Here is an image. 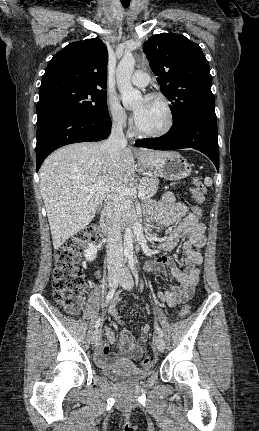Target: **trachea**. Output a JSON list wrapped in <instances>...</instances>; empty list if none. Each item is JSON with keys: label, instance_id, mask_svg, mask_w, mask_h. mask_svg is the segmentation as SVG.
<instances>
[{"label": "trachea", "instance_id": "obj_1", "mask_svg": "<svg viewBox=\"0 0 259 431\" xmlns=\"http://www.w3.org/2000/svg\"><path fill=\"white\" fill-rule=\"evenodd\" d=\"M130 1L131 0H121V3H122L124 8H127V7H129Z\"/></svg>", "mask_w": 259, "mask_h": 431}]
</instances>
